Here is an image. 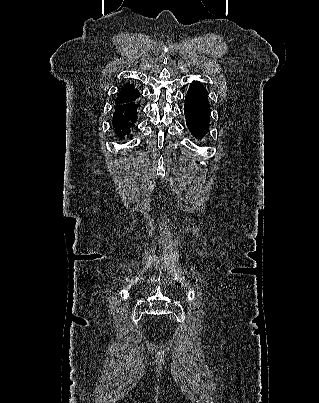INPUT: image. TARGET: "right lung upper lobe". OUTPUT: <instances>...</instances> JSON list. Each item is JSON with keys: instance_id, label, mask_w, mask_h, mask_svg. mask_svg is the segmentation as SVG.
Listing matches in <instances>:
<instances>
[{"instance_id": "right-lung-upper-lobe-1", "label": "right lung upper lobe", "mask_w": 319, "mask_h": 403, "mask_svg": "<svg viewBox=\"0 0 319 403\" xmlns=\"http://www.w3.org/2000/svg\"><path fill=\"white\" fill-rule=\"evenodd\" d=\"M138 94L137 89L134 87L133 84H130L129 82L126 83L124 87H122L117 99L116 103H121L124 102L125 100L135 96Z\"/></svg>"}]
</instances>
